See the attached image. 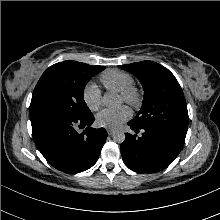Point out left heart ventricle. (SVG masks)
I'll return each instance as SVG.
<instances>
[{
	"label": "left heart ventricle",
	"mask_w": 220,
	"mask_h": 220,
	"mask_svg": "<svg viewBox=\"0 0 220 220\" xmlns=\"http://www.w3.org/2000/svg\"><path fill=\"white\" fill-rule=\"evenodd\" d=\"M119 101H120V103H122L123 102V98L120 96V98H119Z\"/></svg>",
	"instance_id": "obj_1"
}]
</instances>
